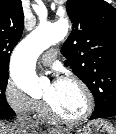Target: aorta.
Here are the masks:
<instances>
[{
  "label": "aorta",
  "mask_w": 116,
  "mask_h": 134,
  "mask_svg": "<svg viewBox=\"0 0 116 134\" xmlns=\"http://www.w3.org/2000/svg\"><path fill=\"white\" fill-rule=\"evenodd\" d=\"M68 32V22L40 23L16 47L11 60V77L14 83L30 96L39 95L47 80L37 76L35 61L50 46L63 40Z\"/></svg>",
  "instance_id": "aorta-1"
}]
</instances>
